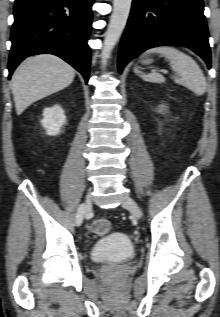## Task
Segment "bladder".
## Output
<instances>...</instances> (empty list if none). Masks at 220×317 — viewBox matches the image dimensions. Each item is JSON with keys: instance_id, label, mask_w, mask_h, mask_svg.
I'll use <instances>...</instances> for the list:
<instances>
[{"instance_id": "bladder-1", "label": "bladder", "mask_w": 220, "mask_h": 317, "mask_svg": "<svg viewBox=\"0 0 220 317\" xmlns=\"http://www.w3.org/2000/svg\"><path fill=\"white\" fill-rule=\"evenodd\" d=\"M135 255L130 238L121 232H111L100 237L91 247L90 257L94 262H123Z\"/></svg>"}]
</instances>
